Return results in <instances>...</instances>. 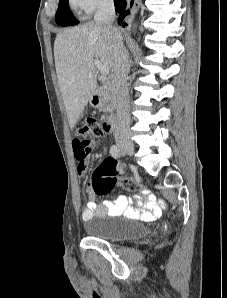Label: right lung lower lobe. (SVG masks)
I'll return each instance as SVG.
<instances>
[{
	"mask_svg": "<svg viewBox=\"0 0 227 298\" xmlns=\"http://www.w3.org/2000/svg\"><path fill=\"white\" fill-rule=\"evenodd\" d=\"M134 2V0H132L130 2V4L132 5ZM114 4H115V10L117 13L120 14L119 19H118V23L122 26L125 27L127 24L123 22V18L125 15L128 14V12H123L126 8V0H114Z\"/></svg>",
	"mask_w": 227,
	"mask_h": 298,
	"instance_id": "1",
	"label": "right lung lower lobe"
}]
</instances>
